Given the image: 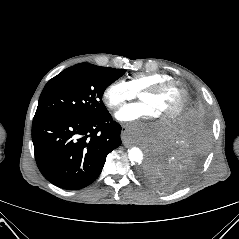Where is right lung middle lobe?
Segmentation results:
<instances>
[{
  "mask_svg": "<svg viewBox=\"0 0 239 239\" xmlns=\"http://www.w3.org/2000/svg\"><path fill=\"white\" fill-rule=\"evenodd\" d=\"M121 69L80 63L52 78L44 87L34 117L96 118L107 113L105 89L123 75Z\"/></svg>",
  "mask_w": 239,
  "mask_h": 239,
  "instance_id": "right-lung-middle-lobe-1",
  "label": "right lung middle lobe"
}]
</instances>
